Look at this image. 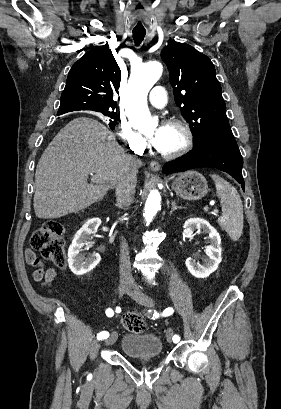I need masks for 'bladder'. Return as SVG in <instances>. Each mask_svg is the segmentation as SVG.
I'll return each mask as SVG.
<instances>
[{"instance_id": "31cf9c89", "label": "bladder", "mask_w": 281, "mask_h": 409, "mask_svg": "<svg viewBox=\"0 0 281 409\" xmlns=\"http://www.w3.org/2000/svg\"><path fill=\"white\" fill-rule=\"evenodd\" d=\"M119 349L128 358L140 359L141 355L164 356L162 338L154 333H133L128 331L119 339Z\"/></svg>"}]
</instances>
